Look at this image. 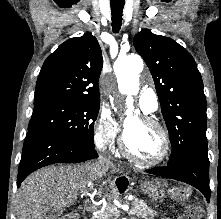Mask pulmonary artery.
I'll use <instances>...</instances> for the list:
<instances>
[{
	"instance_id": "obj_1",
	"label": "pulmonary artery",
	"mask_w": 221,
	"mask_h": 219,
	"mask_svg": "<svg viewBox=\"0 0 221 219\" xmlns=\"http://www.w3.org/2000/svg\"><path fill=\"white\" fill-rule=\"evenodd\" d=\"M139 105L145 113H152L158 108L157 97L153 90L143 89L138 95Z\"/></svg>"
}]
</instances>
